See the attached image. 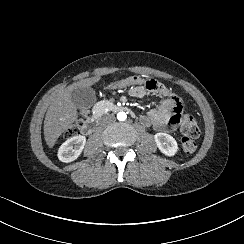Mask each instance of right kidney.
I'll list each match as a JSON object with an SVG mask.
<instances>
[{"mask_svg":"<svg viewBox=\"0 0 244 244\" xmlns=\"http://www.w3.org/2000/svg\"><path fill=\"white\" fill-rule=\"evenodd\" d=\"M86 137L82 135L67 139L58 150V158L62 162H72L76 160L84 149Z\"/></svg>","mask_w":244,"mask_h":244,"instance_id":"obj_1","label":"right kidney"}]
</instances>
